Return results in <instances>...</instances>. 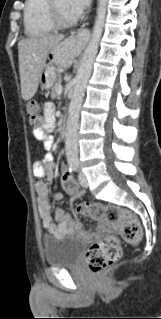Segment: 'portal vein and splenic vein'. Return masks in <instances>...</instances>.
I'll return each instance as SVG.
<instances>
[{"label": "portal vein and splenic vein", "mask_w": 161, "mask_h": 319, "mask_svg": "<svg viewBox=\"0 0 161 319\" xmlns=\"http://www.w3.org/2000/svg\"><path fill=\"white\" fill-rule=\"evenodd\" d=\"M62 90H63V87H62V85H60V86L58 87L57 94H61V93H62Z\"/></svg>", "instance_id": "obj_1"}]
</instances>
